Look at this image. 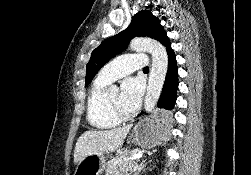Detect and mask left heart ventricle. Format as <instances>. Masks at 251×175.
<instances>
[{
  "instance_id": "obj_1",
  "label": "left heart ventricle",
  "mask_w": 251,
  "mask_h": 175,
  "mask_svg": "<svg viewBox=\"0 0 251 175\" xmlns=\"http://www.w3.org/2000/svg\"><path fill=\"white\" fill-rule=\"evenodd\" d=\"M112 108L116 111H122L120 103V92L115 91L107 96Z\"/></svg>"
}]
</instances>
